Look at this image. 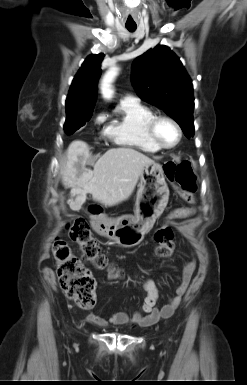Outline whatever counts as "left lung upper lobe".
Instances as JSON below:
<instances>
[{
  "instance_id": "1",
  "label": "left lung upper lobe",
  "mask_w": 247,
  "mask_h": 385,
  "mask_svg": "<svg viewBox=\"0 0 247 385\" xmlns=\"http://www.w3.org/2000/svg\"><path fill=\"white\" fill-rule=\"evenodd\" d=\"M132 84L143 100L172 117L187 138L194 136L192 81L167 46L159 45L135 59Z\"/></svg>"
}]
</instances>
